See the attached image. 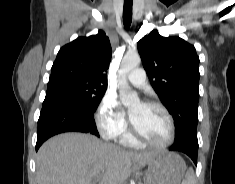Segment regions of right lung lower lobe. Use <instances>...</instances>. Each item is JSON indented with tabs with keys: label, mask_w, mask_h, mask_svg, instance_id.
<instances>
[{
	"label": "right lung lower lobe",
	"mask_w": 235,
	"mask_h": 184,
	"mask_svg": "<svg viewBox=\"0 0 235 184\" xmlns=\"http://www.w3.org/2000/svg\"><path fill=\"white\" fill-rule=\"evenodd\" d=\"M64 132L91 133L99 137L94 112L58 89L47 90L38 120L36 151L48 138Z\"/></svg>",
	"instance_id": "98d812e1"
}]
</instances>
